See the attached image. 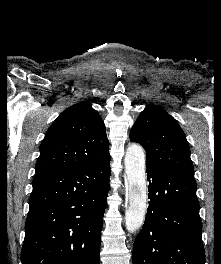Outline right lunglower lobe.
Here are the masks:
<instances>
[{
    "mask_svg": "<svg viewBox=\"0 0 221 264\" xmlns=\"http://www.w3.org/2000/svg\"><path fill=\"white\" fill-rule=\"evenodd\" d=\"M110 159L34 177L22 264H100Z\"/></svg>",
    "mask_w": 221,
    "mask_h": 264,
    "instance_id": "1",
    "label": "right lung lower lobe"
}]
</instances>
